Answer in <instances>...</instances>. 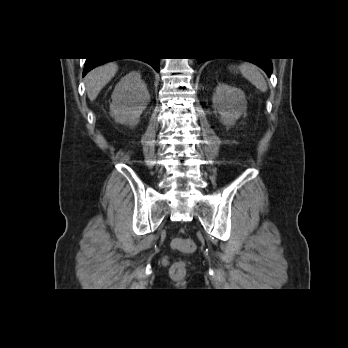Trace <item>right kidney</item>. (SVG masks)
<instances>
[{
    "instance_id": "1",
    "label": "right kidney",
    "mask_w": 348,
    "mask_h": 348,
    "mask_svg": "<svg viewBox=\"0 0 348 348\" xmlns=\"http://www.w3.org/2000/svg\"><path fill=\"white\" fill-rule=\"evenodd\" d=\"M110 115L117 123L135 126L150 102V94L141 74L132 71L121 78L112 93Z\"/></svg>"
}]
</instances>
